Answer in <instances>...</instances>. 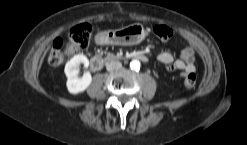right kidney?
<instances>
[{
    "label": "right kidney",
    "instance_id": "ca27d5eb",
    "mask_svg": "<svg viewBox=\"0 0 247 145\" xmlns=\"http://www.w3.org/2000/svg\"><path fill=\"white\" fill-rule=\"evenodd\" d=\"M80 64H84L85 67L89 66V60L83 54L75 55L65 65L66 86L71 94H78L85 91L92 82V76L89 72H85L82 77L78 76V67Z\"/></svg>",
    "mask_w": 247,
    "mask_h": 145
}]
</instances>
